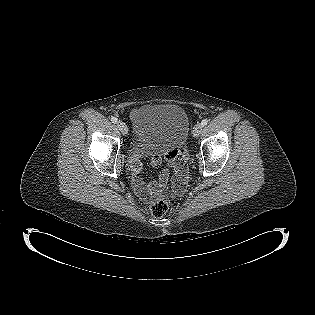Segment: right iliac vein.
Masks as SVG:
<instances>
[{
  "instance_id": "obj_1",
  "label": "right iliac vein",
  "mask_w": 315,
  "mask_h": 315,
  "mask_svg": "<svg viewBox=\"0 0 315 315\" xmlns=\"http://www.w3.org/2000/svg\"><path fill=\"white\" fill-rule=\"evenodd\" d=\"M117 127L123 135H127L128 127L124 122H122V121L117 122Z\"/></svg>"
}]
</instances>
